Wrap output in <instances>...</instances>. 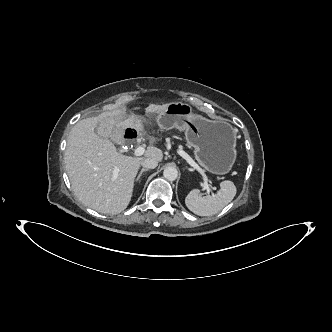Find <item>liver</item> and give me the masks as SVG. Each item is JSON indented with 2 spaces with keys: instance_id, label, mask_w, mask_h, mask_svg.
<instances>
[{
  "instance_id": "obj_1",
  "label": "liver",
  "mask_w": 332,
  "mask_h": 332,
  "mask_svg": "<svg viewBox=\"0 0 332 332\" xmlns=\"http://www.w3.org/2000/svg\"><path fill=\"white\" fill-rule=\"evenodd\" d=\"M167 106L150 104L145 112L160 114ZM125 114V109H119L83 119L73 126L67 140L64 160L71 187L85 206L103 214L120 213L129 205L142 160H163L162 150L154 146H148L143 157L122 155L108 137L95 133L98 125L108 136L115 130L141 126V120L124 118Z\"/></svg>"
}]
</instances>
